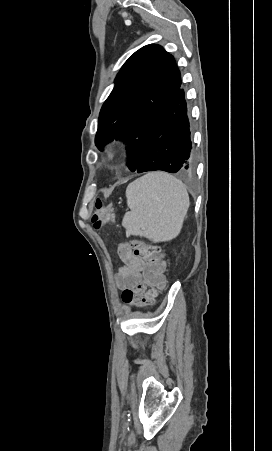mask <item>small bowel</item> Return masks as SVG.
Masks as SVG:
<instances>
[{
	"instance_id": "small-bowel-1",
	"label": "small bowel",
	"mask_w": 272,
	"mask_h": 451,
	"mask_svg": "<svg viewBox=\"0 0 272 451\" xmlns=\"http://www.w3.org/2000/svg\"><path fill=\"white\" fill-rule=\"evenodd\" d=\"M132 251V245H124L123 243H120L117 248L118 256L123 262V265L119 267L115 280L117 287L121 290L134 287L148 264L147 257L145 260H132ZM156 260L158 263V271H163L166 266L165 262L160 258H156Z\"/></svg>"
}]
</instances>
